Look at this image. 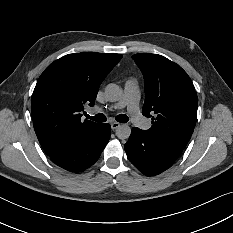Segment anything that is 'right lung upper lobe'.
<instances>
[{
    "label": "right lung upper lobe",
    "mask_w": 233,
    "mask_h": 233,
    "mask_svg": "<svg viewBox=\"0 0 233 233\" xmlns=\"http://www.w3.org/2000/svg\"><path fill=\"white\" fill-rule=\"evenodd\" d=\"M121 58L120 54H68L41 74L31 112L36 135L47 155L100 127L89 120L81 121L80 112L85 104L94 105L100 84Z\"/></svg>",
    "instance_id": "1"
}]
</instances>
